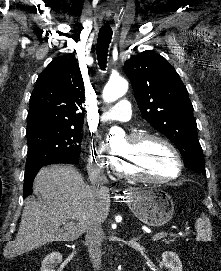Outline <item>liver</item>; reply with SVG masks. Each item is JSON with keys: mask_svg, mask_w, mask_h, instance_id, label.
Here are the masks:
<instances>
[{"mask_svg": "<svg viewBox=\"0 0 221 271\" xmlns=\"http://www.w3.org/2000/svg\"><path fill=\"white\" fill-rule=\"evenodd\" d=\"M40 199H28L14 241L4 247V257H16L37 249L48 241H74L86 231L92 217L106 219L110 199L97 197L74 165L41 167L34 181ZM67 219L77 221L74 227H61Z\"/></svg>", "mask_w": 221, "mask_h": 271, "instance_id": "6515ba94", "label": "liver"}]
</instances>
